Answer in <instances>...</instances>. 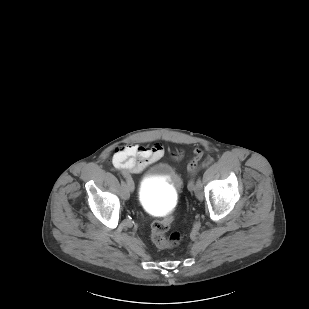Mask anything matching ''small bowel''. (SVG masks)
<instances>
[{
	"label": "small bowel",
	"instance_id": "c3829d8e",
	"mask_svg": "<svg viewBox=\"0 0 309 309\" xmlns=\"http://www.w3.org/2000/svg\"><path fill=\"white\" fill-rule=\"evenodd\" d=\"M163 154L164 148L158 143L150 147L131 144L114 155L113 163L117 168L127 172L141 173L147 166L158 161Z\"/></svg>",
	"mask_w": 309,
	"mask_h": 309
}]
</instances>
